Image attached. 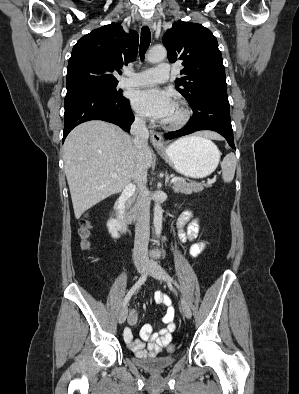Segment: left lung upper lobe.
Here are the masks:
<instances>
[{"label":"left lung upper lobe","instance_id":"5c2ea615","mask_svg":"<svg viewBox=\"0 0 299 394\" xmlns=\"http://www.w3.org/2000/svg\"><path fill=\"white\" fill-rule=\"evenodd\" d=\"M163 44L170 62L183 61L175 86L189 104L206 91L227 90L221 52L209 29L179 20L164 34Z\"/></svg>","mask_w":299,"mask_h":394}]
</instances>
